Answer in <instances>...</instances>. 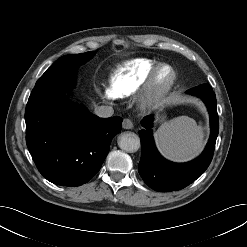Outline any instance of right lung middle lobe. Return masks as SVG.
I'll list each match as a JSON object with an SVG mask.
<instances>
[{
    "label": "right lung middle lobe",
    "instance_id": "right-lung-middle-lobe-1",
    "mask_svg": "<svg viewBox=\"0 0 247 247\" xmlns=\"http://www.w3.org/2000/svg\"><path fill=\"white\" fill-rule=\"evenodd\" d=\"M94 54L86 52L60 57L39 78L29 98H46L70 91L75 81L76 69L90 60Z\"/></svg>",
    "mask_w": 247,
    "mask_h": 247
}]
</instances>
